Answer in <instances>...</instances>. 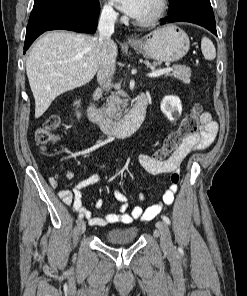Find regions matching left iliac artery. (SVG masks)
Masks as SVG:
<instances>
[{
  "instance_id": "obj_1",
  "label": "left iliac artery",
  "mask_w": 247,
  "mask_h": 296,
  "mask_svg": "<svg viewBox=\"0 0 247 296\" xmlns=\"http://www.w3.org/2000/svg\"><path fill=\"white\" fill-rule=\"evenodd\" d=\"M162 219L166 224H170V219L167 216L163 215Z\"/></svg>"
}]
</instances>
